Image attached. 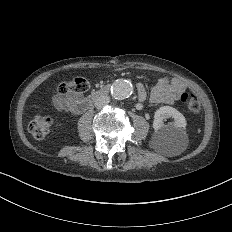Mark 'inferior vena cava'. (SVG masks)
Listing matches in <instances>:
<instances>
[{"instance_id":"obj_1","label":"inferior vena cava","mask_w":232,"mask_h":232,"mask_svg":"<svg viewBox=\"0 0 232 232\" xmlns=\"http://www.w3.org/2000/svg\"><path fill=\"white\" fill-rule=\"evenodd\" d=\"M109 101H110V98L108 96H100L97 99V105L98 106H104V105L108 104Z\"/></svg>"}]
</instances>
